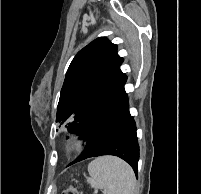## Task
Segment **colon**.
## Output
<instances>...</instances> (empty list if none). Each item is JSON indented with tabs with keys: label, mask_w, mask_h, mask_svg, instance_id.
<instances>
[{
	"label": "colon",
	"mask_w": 201,
	"mask_h": 194,
	"mask_svg": "<svg viewBox=\"0 0 201 194\" xmlns=\"http://www.w3.org/2000/svg\"><path fill=\"white\" fill-rule=\"evenodd\" d=\"M63 194H83V193L74 187H70Z\"/></svg>",
	"instance_id": "obj_1"
}]
</instances>
